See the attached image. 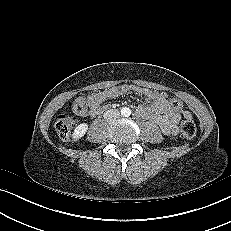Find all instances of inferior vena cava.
<instances>
[{"label": "inferior vena cava", "instance_id": "inferior-vena-cava-1", "mask_svg": "<svg viewBox=\"0 0 231 231\" xmlns=\"http://www.w3.org/2000/svg\"><path fill=\"white\" fill-rule=\"evenodd\" d=\"M120 112L117 109H110L104 113V118L108 121L119 118Z\"/></svg>", "mask_w": 231, "mask_h": 231}]
</instances>
